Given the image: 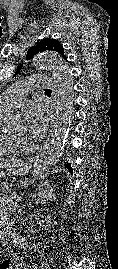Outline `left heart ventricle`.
Instances as JSON below:
<instances>
[{
  "instance_id": "b2bd125f",
  "label": "left heart ventricle",
  "mask_w": 118,
  "mask_h": 269,
  "mask_svg": "<svg viewBox=\"0 0 118 269\" xmlns=\"http://www.w3.org/2000/svg\"><path fill=\"white\" fill-rule=\"evenodd\" d=\"M18 133H22V127H21V125L17 128V130H16Z\"/></svg>"
}]
</instances>
